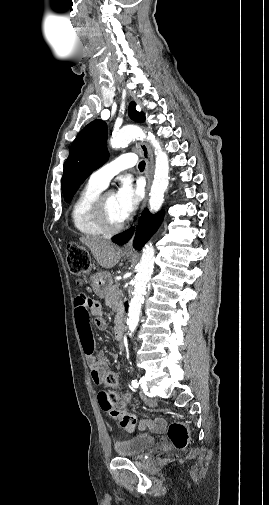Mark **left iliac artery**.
<instances>
[{
	"label": "left iliac artery",
	"instance_id": "obj_1",
	"mask_svg": "<svg viewBox=\"0 0 269 505\" xmlns=\"http://www.w3.org/2000/svg\"><path fill=\"white\" fill-rule=\"evenodd\" d=\"M132 387H133V388H138V387H139V383H138V381H137V380H135V379H134V380H132Z\"/></svg>",
	"mask_w": 269,
	"mask_h": 505
}]
</instances>
